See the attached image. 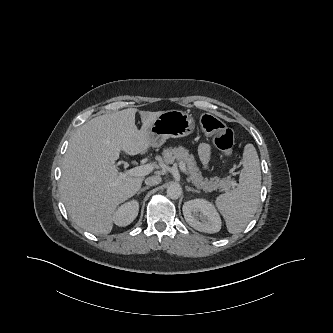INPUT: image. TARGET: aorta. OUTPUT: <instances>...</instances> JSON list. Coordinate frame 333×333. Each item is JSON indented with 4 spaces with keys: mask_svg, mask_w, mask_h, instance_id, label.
Segmentation results:
<instances>
[{
    "mask_svg": "<svg viewBox=\"0 0 333 333\" xmlns=\"http://www.w3.org/2000/svg\"><path fill=\"white\" fill-rule=\"evenodd\" d=\"M182 194V189L178 184H171L167 188V195L171 199H178Z\"/></svg>",
    "mask_w": 333,
    "mask_h": 333,
    "instance_id": "obj_1",
    "label": "aorta"
}]
</instances>
